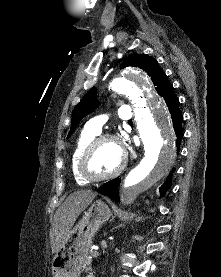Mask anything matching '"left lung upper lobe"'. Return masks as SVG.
I'll return each instance as SVG.
<instances>
[{
	"instance_id": "left-lung-upper-lobe-1",
	"label": "left lung upper lobe",
	"mask_w": 221,
	"mask_h": 277,
	"mask_svg": "<svg viewBox=\"0 0 221 277\" xmlns=\"http://www.w3.org/2000/svg\"><path fill=\"white\" fill-rule=\"evenodd\" d=\"M127 66H135L143 69L150 77L156 86V90L162 97L166 90L171 86L167 79V75L159 67L158 62L145 54H132L126 61L121 64V68ZM97 90L91 88L82 100L77 104L72 112L71 129L67 136L69 138L72 132L75 130L77 124L82 120L83 117L92 112L97 106L98 101L96 100Z\"/></svg>"
}]
</instances>
